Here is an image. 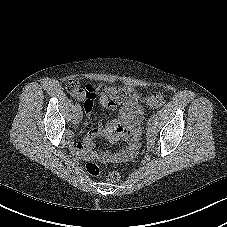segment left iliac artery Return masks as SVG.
Segmentation results:
<instances>
[{"label": "left iliac artery", "mask_w": 227, "mask_h": 227, "mask_svg": "<svg viewBox=\"0 0 227 227\" xmlns=\"http://www.w3.org/2000/svg\"><path fill=\"white\" fill-rule=\"evenodd\" d=\"M154 118H155V114H152L151 117H150L149 120H148V124L153 123Z\"/></svg>", "instance_id": "left-iliac-artery-1"}]
</instances>
